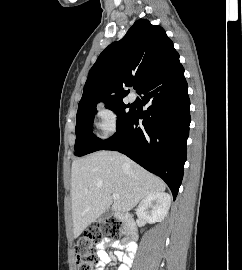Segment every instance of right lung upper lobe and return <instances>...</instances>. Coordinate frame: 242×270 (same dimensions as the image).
Returning <instances> with one entry per match:
<instances>
[{
	"mask_svg": "<svg viewBox=\"0 0 242 270\" xmlns=\"http://www.w3.org/2000/svg\"><path fill=\"white\" fill-rule=\"evenodd\" d=\"M179 61L164 29L138 20L118 42L110 44L89 71L78 111L97 102L122 100L126 87L138 84V92L157 75Z\"/></svg>",
	"mask_w": 242,
	"mask_h": 270,
	"instance_id": "right-lung-upper-lobe-1",
	"label": "right lung upper lobe"
}]
</instances>
